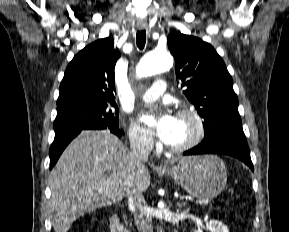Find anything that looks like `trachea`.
I'll return each mask as SVG.
<instances>
[{
	"label": "trachea",
	"mask_w": 289,
	"mask_h": 232,
	"mask_svg": "<svg viewBox=\"0 0 289 232\" xmlns=\"http://www.w3.org/2000/svg\"><path fill=\"white\" fill-rule=\"evenodd\" d=\"M136 43L140 50L144 48L145 43H146V31L145 30H141L137 32Z\"/></svg>",
	"instance_id": "trachea-1"
}]
</instances>
